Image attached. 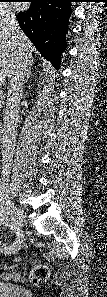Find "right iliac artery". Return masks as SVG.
<instances>
[{"label":"right iliac artery","mask_w":107,"mask_h":297,"mask_svg":"<svg viewBox=\"0 0 107 297\" xmlns=\"http://www.w3.org/2000/svg\"><path fill=\"white\" fill-rule=\"evenodd\" d=\"M0 200L2 201V203L7 206V207H1L0 208V221L2 224H4L5 226H8L10 229H12L15 233L16 236H21L22 235V231L16 226L15 222H13L12 220H10V218L8 217L9 212V200L8 198L5 196V194L3 192L0 191ZM4 252H11L12 251V245H10L9 247H5Z\"/></svg>","instance_id":"1"}]
</instances>
